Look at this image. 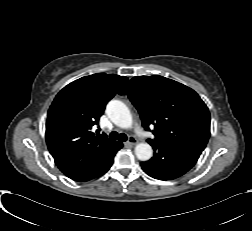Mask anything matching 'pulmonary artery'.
<instances>
[{"mask_svg": "<svg viewBox=\"0 0 252 231\" xmlns=\"http://www.w3.org/2000/svg\"><path fill=\"white\" fill-rule=\"evenodd\" d=\"M135 132H136V134L139 136V137H142V138H145L146 137V132L144 131V129L141 127V126H139V125H137L136 127H135Z\"/></svg>", "mask_w": 252, "mask_h": 231, "instance_id": "obj_1", "label": "pulmonary artery"}]
</instances>
